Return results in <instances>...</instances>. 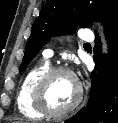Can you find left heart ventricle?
I'll return each mask as SVG.
<instances>
[{
  "mask_svg": "<svg viewBox=\"0 0 118 123\" xmlns=\"http://www.w3.org/2000/svg\"><path fill=\"white\" fill-rule=\"evenodd\" d=\"M77 95V86L73 78L66 74L56 75L48 88L49 104L55 109H63L70 105Z\"/></svg>",
  "mask_w": 118,
  "mask_h": 123,
  "instance_id": "b2bd125f",
  "label": "left heart ventricle"
}]
</instances>
